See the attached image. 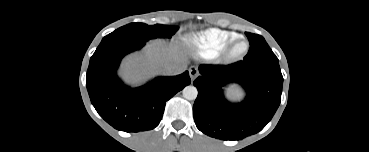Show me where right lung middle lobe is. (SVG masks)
<instances>
[{"label": "right lung middle lobe", "mask_w": 369, "mask_h": 152, "mask_svg": "<svg viewBox=\"0 0 369 152\" xmlns=\"http://www.w3.org/2000/svg\"><path fill=\"white\" fill-rule=\"evenodd\" d=\"M177 31V27L169 25H147L144 23H130L125 25L104 38L114 36H132L139 39L149 40L154 38H170ZM103 38V39H104Z\"/></svg>", "instance_id": "obj_1"}]
</instances>
